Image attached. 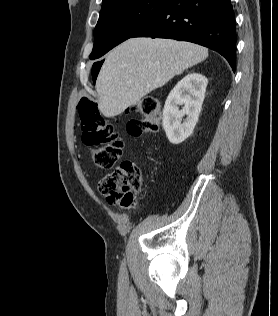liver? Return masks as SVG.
Returning a JSON list of instances; mask_svg holds the SVG:
<instances>
[{"mask_svg":"<svg viewBox=\"0 0 278 316\" xmlns=\"http://www.w3.org/2000/svg\"><path fill=\"white\" fill-rule=\"evenodd\" d=\"M207 57L208 49L190 42L128 39L114 48L102 65L95 85L98 107L106 117L117 116Z\"/></svg>","mask_w":278,"mask_h":316,"instance_id":"liver-1","label":"liver"}]
</instances>
